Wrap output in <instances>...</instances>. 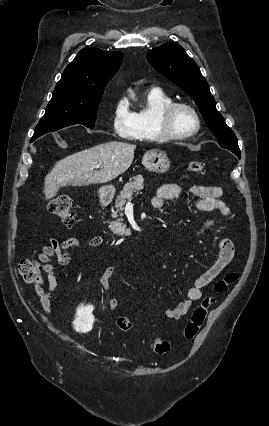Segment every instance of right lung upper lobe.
Listing matches in <instances>:
<instances>
[{"label":"right lung upper lobe","mask_w":269,"mask_h":426,"mask_svg":"<svg viewBox=\"0 0 269 426\" xmlns=\"http://www.w3.org/2000/svg\"><path fill=\"white\" fill-rule=\"evenodd\" d=\"M122 60L121 52L84 48L66 67L53 94L69 98L102 96L106 84L117 72Z\"/></svg>","instance_id":"obj_1"}]
</instances>
